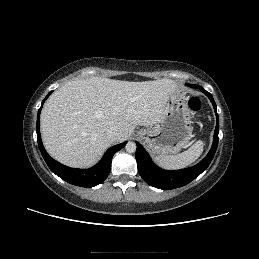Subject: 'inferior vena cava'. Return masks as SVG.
Wrapping results in <instances>:
<instances>
[{
  "instance_id": "inferior-vena-cava-1",
  "label": "inferior vena cava",
  "mask_w": 259,
  "mask_h": 259,
  "mask_svg": "<svg viewBox=\"0 0 259 259\" xmlns=\"http://www.w3.org/2000/svg\"><path fill=\"white\" fill-rule=\"evenodd\" d=\"M120 136V132L118 129L114 128V127H110L107 132H106V137L107 139H109L110 141H116L118 139V137Z\"/></svg>"
}]
</instances>
